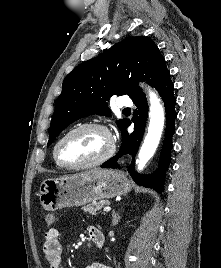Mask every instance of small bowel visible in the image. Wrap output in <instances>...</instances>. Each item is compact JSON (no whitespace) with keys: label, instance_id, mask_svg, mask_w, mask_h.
I'll use <instances>...</instances> for the list:
<instances>
[{"label":"small bowel","instance_id":"c3829d8e","mask_svg":"<svg viewBox=\"0 0 221 268\" xmlns=\"http://www.w3.org/2000/svg\"><path fill=\"white\" fill-rule=\"evenodd\" d=\"M98 230L94 226L88 227V233L91 238V234ZM42 252L45 259L48 262L49 268H63L61 266L62 258V244L60 241L59 231L55 228H49L44 234V242L42 245ZM86 268H111L102 263H92L86 266Z\"/></svg>","mask_w":221,"mask_h":268}]
</instances>
